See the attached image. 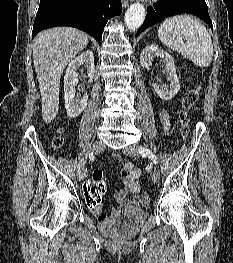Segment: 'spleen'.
<instances>
[{
    "label": "spleen",
    "mask_w": 233,
    "mask_h": 263,
    "mask_svg": "<svg viewBox=\"0 0 233 263\" xmlns=\"http://www.w3.org/2000/svg\"><path fill=\"white\" fill-rule=\"evenodd\" d=\"M159 40L198 67H208L213 59L211 36L192 15L166 19L158 29Z\"/></svg>",
    "instance_id": "3e777b00"
}]
</instances>
